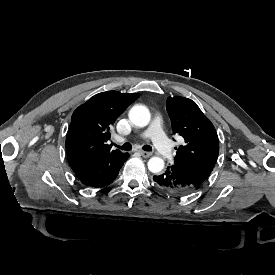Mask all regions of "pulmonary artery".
<instances>
[{
	"mask_svg": "<svg viewBox=\"0 0 275 275\" xmlns=\"http://www.w3.org/2000/svg\"><path fill=\"white\" fill-rule=\"evenodd\" d=\"M151 135V128L145 132L142 133L143 137H149ZM151 142L153 143V146L155 148L156 153L165 158L170 159L173 157L174 152L172 149H170V144L168 142V138L163 131V128L161 125H159V120L157 118L154 119V126L152 128V135L150 137ZM128 140L123 137H119L115 140L116 144L122 145L126 143Z\"/></svg>",
	"mask_w": 275,
	"mask_h": 275,
	"instance_id": "e3ab8cb5",
	"label": "pulmonary artery"
}]
</instances>
